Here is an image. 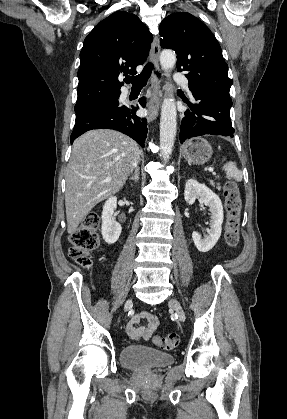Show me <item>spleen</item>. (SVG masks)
Wrapping results in <instances>:
<instances>
[{
    "label": "spleen",
    "mask_w": 287,
    "mask_h": 419,
    "mask_svg": "<svg viewBox=\"0 0 287 419\" xmlns=\"http://www.w3.org/2000/svg\"><path fill=\"white\" fill-rule=\"evenodd\" d=\"M223 170L229 178H233L238 182L242 181V172L237 168L235 162H228L224 164Z\"/></svg>",
    "instance_id": "obj_1"
}]
</instances>
